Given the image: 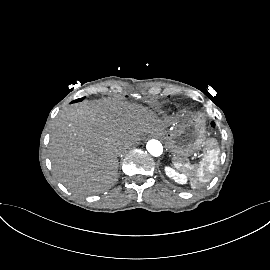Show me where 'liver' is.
Instances as JSON below:
<instances>
[{
	"label": "liver",
	"instance_id": "1",
	"mask_svg": "<svg viewBox=\"0 0 270 270\" xmlns=\"http://www.w3.org/2000/svg\"><path fill=\"white\" fill-rule=\"evenodd\" d=\"M160 129L147 108L111 99L63 109L50 135L53 169L71 189L99 191L117 178V152Z\"/></svg>",
	"mask_w": 270,
	"mask_h": 270
}]
</instances>
